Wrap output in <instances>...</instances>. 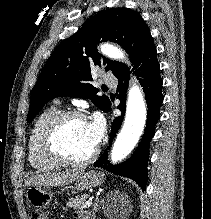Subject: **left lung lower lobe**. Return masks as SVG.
Listing matches in <instances>:
<instances>
[{"label": "left lung lower lobe", "mask_w": 211, "mask_h": 219, "mask_svg": "<svg viewBox=\"0 0 211 219\" xmlns=\"http://www.w3.org/2000/svg\"><path fill=\"white\" fill-rule=\"evenodd\" d=\"M156 47L153 38L150 35L138 53L132 59L134 63L135 74L139 76L143 91L145 93L148 113L145 133L133 155L125 162L119 165H111L107 162L106 151L94 163V166L107 169L109 172L135 180L143 190L147 184V162L149 158V143L154 136V129L160 118L159 108L163 102L162 79L160 77V66L157 60ZM129 69L124 67L115 76L118 79L117 98L120 104L117 107L121 112H125V95L128 87ZM111 104L107 110H110ZM122 123V116L114 119L111 126V139L119 130ZM111 143V141H110Z\"/></svg>", "instance_id": "1"}]
</instances>
